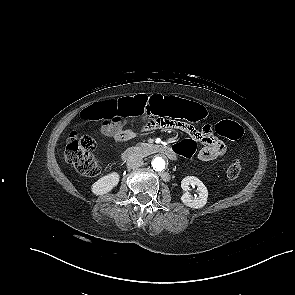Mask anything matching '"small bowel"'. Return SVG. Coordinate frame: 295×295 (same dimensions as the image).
<instances>
[{"label":"small bowel","instance_id":"obj_1","mask_svg":"<svg viewBox=\"0 0 295 295\" xmlns=\"http://www.w3.org/2000/svg\"><path fill=\"white\" fill-rule=\"evenodd\" d=\"M159 127L174 128L177 131L188 134L192 139L191 141H199L202 147L197 156L201 161H213L223 156L226 152L224 142L214 136L211 125H205L199 131L183 121H175L169 118H155L145 123L142 131H151ZM101 132L106 137L112 138L119 148L124 147L136 135L133 129L125 128L121 121L103 122Z\"/></svg>","mask_w":295,"mask_h":295}]
</instances>
